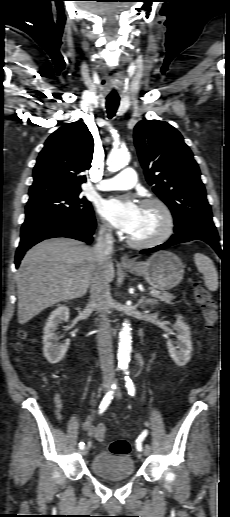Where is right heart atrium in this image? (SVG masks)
I'll return each instance as SVG.
<instances>
[{"label": "right heart atrium", "mask_w": 230, "mask_h": 517, "mask_svg": "<svg viewBox=\"0 0 230 517\" xmlns=\"http://www.w3.org/2000/svg\"><path fill=\"white\" fill-rule=\"evenodd\" d=\"M101 232L104 234V235H111L112 234V229L110 228L109 225L107 224H103L102 227H101Z\"/></svg>", "instance_id": "1"}]
</instances>
